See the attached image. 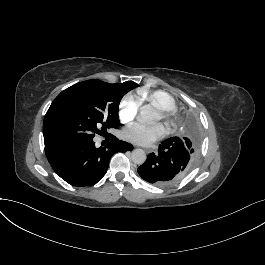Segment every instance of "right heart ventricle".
<instances>
[{
	"label": "right heart ventricle",
	"mask_w": 265,
	"mask_h": 265,
	"mask_svg": "<svg viewBox=\"0 0 265 265\" xmlns=\"http://www.w3.org/2000/svg\"><path fill=\"white\" fill-rule=\"evenodd\" d=\"M138 98L141 103L147 101L149 104L154 105L159 113L160 109L175 108V101L168 93L163 91H146L139 92Z\"/></svg>",
	"instance_id": "e07e8e85"
}]
</instances>
